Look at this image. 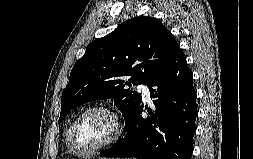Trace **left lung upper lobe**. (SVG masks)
I'll return each instance as SVG.
<instances>
[{"instance_id":"5c2ea615","label":"left lung upper lobe","mask_w":253,"mask_h":159,"mask_svg":"<svg viewBox=\"0 0 253 159\" xmlns=\"http://www.w3.org/2000/svg\"><path fill=\"white\" fill-rule=\"evenodd\" d=\"M170 31L156 18L135 17L90 43L71 70L61 98L59 123L92 100L114 98L125 122L141 103V94L125 89L147 84L179 51ZM126 76H131L129 82Z\"/></svg>"}]
</instances>
